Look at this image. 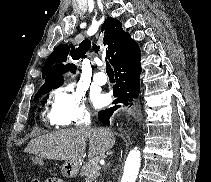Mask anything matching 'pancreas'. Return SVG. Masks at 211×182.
<instances>
[{
    "label": "pancreas",
    "instance_id": "cf45deb5",
    "mask_svg": "<svg viewBox=\"0 0 211 182\" xmlns=\"http://www.w3.org/2000/svg\"><path fill=\"white\" fill-rule=\"evenodd\" d=\"M101 157L96 156L82 166L80 175L85 177L86 182H93L100 176V166L98 163Z\"/></svg>",
    "mask_w": 211,
    "mask_h": 182
}]
</instances>
